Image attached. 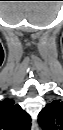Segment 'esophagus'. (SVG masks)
Listing matches in <instances>:
<instances>
[{"mask_svg":"<svg viewBox=\"0 0 63 130\" xmlns=\"http://www.w3.org/2000/svg\"><path fill=\"white\" fill-rule=\"evenodd\" d=\"M31 128H32V130H38V125H37V122L35 120L32 121Z\"/></svg>","mask_w":63,"mask_h":130,"instance_id":"34e87169","label":"esophagus"}]
</instances>
